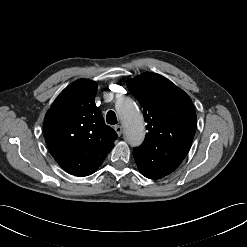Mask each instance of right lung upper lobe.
I'll return each mask as SVG.
<instances>
[{"label":"right lung upper lobe","instance_id":"1","mask_svg":"<svg viewBox=\"0 0 247 247\" xmlns=\"http://www.w3.org/2000/svg\"><path fill=\"white\" fill-rule=\"evenodd\" d=\"M97 85L85 79L67 86L44 119L45 141L51 155L69 174L94 173L112 150L116 132L95 105Z\"/></svg>","mask_w":247,"mask_h":247}]
</instances>
